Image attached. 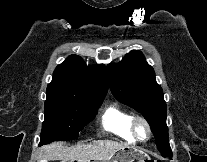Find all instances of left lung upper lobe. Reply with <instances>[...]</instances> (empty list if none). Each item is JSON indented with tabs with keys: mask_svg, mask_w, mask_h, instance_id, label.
Listing matches in <instances>:
<instances>
[{
	"mask_svg": "<svg viewBox=\"0 0 207 162\" xmlns=\"http://www.w3.org/2000/svg\"><path fill=\"white\" fill-rule=\"evenodd\" d=\"M110 88L117 100L140 112L151 126L160 153L171 154L166 126V102L153 68L133 50L117 64L108 65Z\"/></svg>",
	"mask_w": 207,
	"mask_h": 162,
	"instance_id": "left-lung-upper-lobe-1",
	"label": "left lung upper lobe"
}]
</instances>
